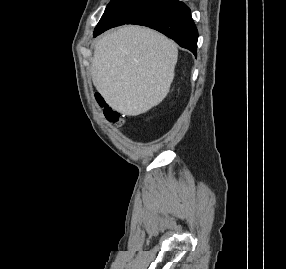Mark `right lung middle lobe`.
<instances>
[{"label": "right lung middle lobe", "instance_id": "dd1d6c3e", "mask_svg": "<svg viewBox=\"0 0 286 269\" xmlns=\"http://www.w3.org/2000/svg\"><path fill=\"white\" fill-rule=\"evenodd\" d=\"M161 0H111L95 31L108 30L126 24L135 16L156 5Z\"/></svg>", "mask_w": 286, "mask_h": 269}]
</instances>
